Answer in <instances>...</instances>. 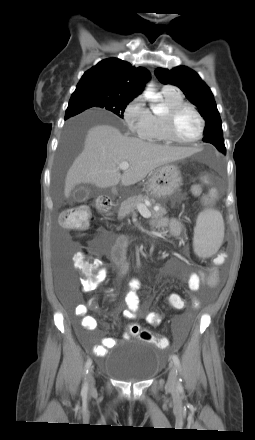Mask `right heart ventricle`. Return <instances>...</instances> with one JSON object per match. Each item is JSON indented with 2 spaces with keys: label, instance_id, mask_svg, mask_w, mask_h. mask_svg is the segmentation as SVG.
<instances>
[{
  "label": "right heart ventricle",
  "instance_id": "obj_1",
  "mask_svg": "<svg viewBox=\"0 0 255 440\" xmlns=\"http://www.w3.org/2000/svg\"><path fill=\"white\" fill-rule=\"evenodd\" d=\"M161 100L166 109L184 103L182 94L172 87L169 90L162 89ZM142 138L157 143L168 142L163 128L162 114H151L150 129Z\"/></svg>",
  "mask_w": 255,
  "mask_h": 440
}]
</instances>
